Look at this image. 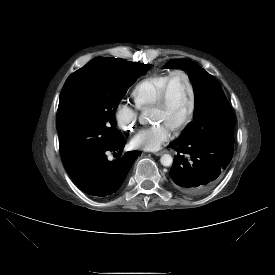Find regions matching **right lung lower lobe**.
Here are the masks:
<instances>
[{"instance_id": "obj_1", "label": "right lung lower lobe", "mask_w": 275, "mask_h": 275, "mask_svg": "<svg viewBox=\"0 0 275 275\" xmlns=\"http://www.w3.org/2000/svg\"><path fill=\"white\" fill-rule=\"evenodd\" d=\"M124 146L125 139L122 137L105 151L85 154L64 164L82 191L96 197L108 196L121 187L133 162L140 155L139 151H130L121 158L108 161L106 153H121Z\"/></svg>"}]
</instances>
